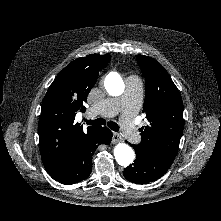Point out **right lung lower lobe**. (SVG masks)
Masks as SVG:
<instances>
[{"label":"right lung lower lobe","instance_id":"1","mask_svg":"<svg viewBox=\"0 0 221 221\" xmlns=\"http://www.w3.org/2000/svg\"><path fill=\"white\" fill-rule=\"evenodd\" d=\"M112 132L106 127H98L87 135L76 148L66 173L56 181L69 185L86 179L92 171V155L100 144H109Z\"/></svg>","mask_w":221,"mask_h":221}]
</instances>
